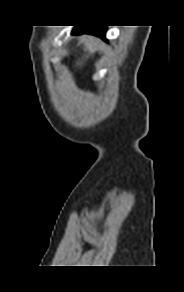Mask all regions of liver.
Wrapping results in <instances>:
<instances>
[{
	"instance_id": "1",
	"label": "liver",
	"mask_w": 184,
	"mask_h": 292,
	"mask_svg": "<svg viewBox=\"0 0 184 292\" xmlns=\"http://www.w3.org/2000/svg\"><path fill=\"white\" fill-rule=\"evenodd\" d=\"M83 40L85 41L89 52L90 53L95 52V50L97 48V42L95 41L94 37L85 35L83 37Z\"/></svg>"
}]
</instances>
